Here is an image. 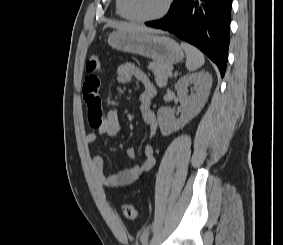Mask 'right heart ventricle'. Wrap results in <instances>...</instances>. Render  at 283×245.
<instances>
[{"label":"right heart ventricle","mask_w":283,"mask_h":245,"mask_svg":"<svg viewBox=\"0 0 283 245\" xmlns=\"http://www.w3.org/2000/svg\"><path fill=\"white\" fill-rule=\"evenodd\" d=\"M115 8H116V13L119 15L121 18L128 19L126 16L124 10H123V1L122 0H116L115 1Z\"/></svg>","instance_id":"e07e8e85"}]
</instances>
